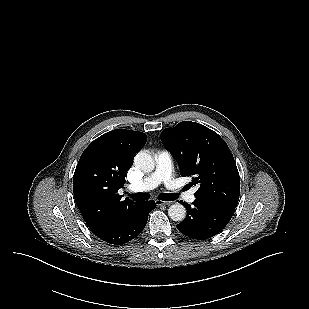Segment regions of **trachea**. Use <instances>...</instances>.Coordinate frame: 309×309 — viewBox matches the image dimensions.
Instances as JSON below:
<instances>
[{
    "instance_id": "obj_1",
    "label": "trachea",
    "mask_w": 309,
    "mask_h": 309,
    "mask_svg": "<svg viewBox=\"0 0 309 309\" xmlns=\"http://www.w3.org/2000/svg\"><path fill=\"white\" fill-rule=\"evenodd\" d=\"M130 197H132L133 200L135 201H145L149 199V195L147 193H136L130 195ZM158 198L163 201H174L178 198V195L170 193H161L159 194Z\"/></svg>"
}]
</instances>
